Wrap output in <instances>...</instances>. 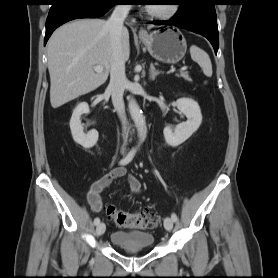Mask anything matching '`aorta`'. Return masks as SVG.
I'll return each instance as SVG.
<instances>
[{"mask_svg":"<svg viewBox=\"0 0 278 278\" xmlns=\"http://www.w3.org/2000/svg\"><path fill=\"white\" fill-rule=\"evenodd\" d=\"M128 108L137 128L138 137L140 139H144L146 137V121L142 110L133 98L129 99Z\"/></svg>","mask_w":278,"mask_h":278,"instance_id":"762f6f07","label":"aorta"}]
</instances>
